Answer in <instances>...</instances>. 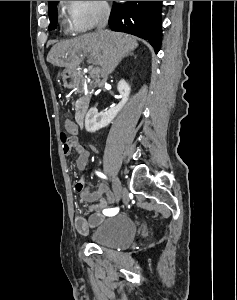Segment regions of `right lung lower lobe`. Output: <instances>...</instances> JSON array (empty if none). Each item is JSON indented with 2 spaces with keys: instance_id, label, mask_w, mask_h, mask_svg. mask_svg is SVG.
Returning <instances> with one entry per match:
<instances>
[{
  "instance_id": "1",
  "label": "right lung lower lobe",
  "mask_w": 237,
  "mask_h": 300,
  "mask_svg": "<svg viewBox=\"0 0 237 300\" xmlns=\"http://www.w3.org/2000/svg\"><path fill=\"white\" fill-rule=\"evenodd\" d=\"M162 1H128L114 4L109 27L148 40L157 52L160 49Z\"/></svg>"
}]
</instances>
